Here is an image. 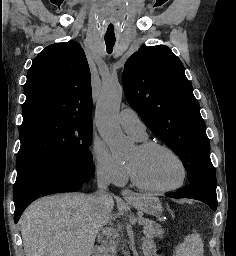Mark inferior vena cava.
I'll return each instance as SVG.
<instances>
[{
  "label": "inferior vena cava",
  "mask_w": 236,
  "mask_h": 256,
  "mask_svg": "<svg viewBox=\"0 0 236 256\" xmlns=\"http://www.w3.org/2000/svg\"><path fill=\"white\" fill-rule=\"evenodd\" d=\"M98 192H95V196H92V200L95 206L102 208L101 212L109 208V204L112 200L107 192L109 184L112 182V174L109 168L106 166H97L96 170Z\"/></svg>",
  "instance_id": "obj_1"
}]
</instances>
